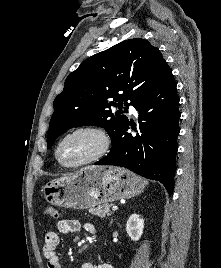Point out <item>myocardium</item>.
Wrapping results in <instances>:
<instances>
[{"label":"myocardium","instance_id":"f54148a6","mask_svg":"<svg viewBox=\"0 0 221 268\" xmlns=\"http://www.w3.org/2000/svg\"><path fill=\"white\" fill-rule=\"evenodd\" d=\"M79 133H91L95 135L98 140L99 144L97 149L88 157L72 164L64 163L59 156L60 149L62 145L68 140L70 137L79 134ZM111 147V139L109 134L101 127L93 126V125H85V126H79L76 127L69 132H67L65 135H63L60 140L57 142L54 150V156L56 161L59 165H61L64 168H78L93 162H96L103 158L110 150Z\"/></svg>","mask_w":221,"mask_h":268}]
</instances>
